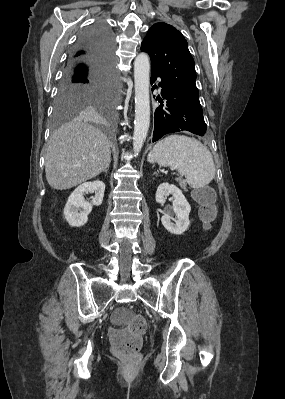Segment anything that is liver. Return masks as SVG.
<instances>
[{"instance_id":"6515ba94","label":"liver","mask_w":285,"mask_h":399,"mask_svg":"<svg viewBox=\"0 0 285 399\" xmlns=\"http://www.w3.org/2000/svg\"><path fill=\"white\" fill-rule=\"evenodd\" d=\"M110 161V142L105 134L78 117L50 137L45 155L46 179L54 189H70L99 175Z\"/></svg>"}]
</instances>
